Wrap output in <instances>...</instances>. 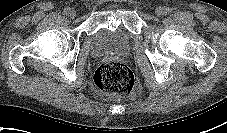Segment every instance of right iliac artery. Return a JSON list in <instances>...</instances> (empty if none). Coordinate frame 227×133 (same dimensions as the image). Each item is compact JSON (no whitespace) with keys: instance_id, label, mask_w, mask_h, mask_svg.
Instances as JSON below:
<instances>
[{"instance_id":"right-iliac-artery-1","label":"right iliac artery","mask_w":227,"mask_h":133,"mask_svg":"<svg viewBox=\"0 0 227 133\" xmlns=\"http://www.w3.org/2000/svg\"><path fill=\"white\" fill-rule=\"evenodd\" d=\"M69 12H70V8H65L64 10H63V13L65 14V15H68L69 14Z\"/></svg>"}]
</instances>
